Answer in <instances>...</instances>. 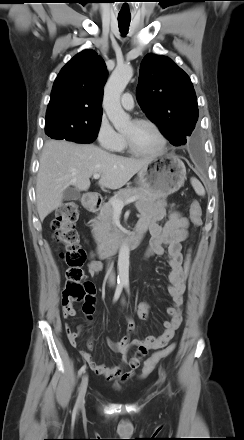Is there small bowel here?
Listing matches in <instances>:
<instances>
[{"label": "small bowel", "mask_w": 244, "mask_h": 440, "mask_svg": "<svg viewBox=\"0 0 244 440\" xmlns=\"http://www.w3.org/2000/svg\"><path fill=\"white\" fill-rule=\"evenodd\" d=\"M137 209L140 212L139 227H144L151 234L149 246L146 256L153 255L166 257L170 267L169 280L170 285L168 291L171 297L172 306L168 308L170 316L169 321H165L164 331L159 336L148 335L143 340L132 338L136 333L137 328L130 316H127L128 334L118 342L110 339L107 344L113 350L119 352L122 356L121 363L113 366H106L97 363L92 355L85 350H81L80 354L88 363L89 367L98 375L105 377L108 380H118L125 382L134 376L135 370L140 366L143 357L135 354L129 358L128 352L131 347H145L147 350L159 349L166 346L174 337L176 331L181 325L182 315L181 306L183 304V293L185 291V279L183 276V255L182 242L187 237L188 219L177 211L169 213V220L164 226L159 224L166 215V201L159 200L156 203L139 202ZM167 246V249H165ZM102 270V264L98 261H92L88 265V273L90 276H96ZM83 312L88 322L91 321L94 313V304L90 310L83 308ZM150 312V306L147 302L140 303L138 307V315L140 319L147 320ZM73 315L64 314L65 318H70ZM65 330L69 341L74 347L78 346L77 339L80 335L81 327L78 331H73L69 324H66ZM128 366L129 370L124 371V367Z\"/></svg>", "instance_id": "1"}]
</instances>
